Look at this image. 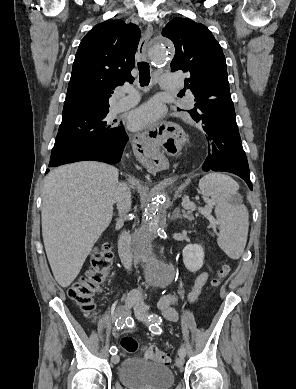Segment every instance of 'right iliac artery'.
Masks as SVG:
<instances>
[{
  "label": "right iliac artery",
  "instance_id": "82829eb1",
  "mask_svg": "<svg viewBox=\"0 0 296 389\" xmlns=\"http://www.w3.org/2000/svg\"><path fill=\"white\" fill-rule=\"evenodd\" d=\"M124 307H120L118 309V312L119 314L121 315L115 322V326L117 327V329H122L125 325H124V320H125V317H122L124 313ZM110 354L112 355H116L117 354V348L115 346H112L110 348Z\"/></svg>",
  "mask_w": 296,
  "mask_h": 389
}]
</instances>
